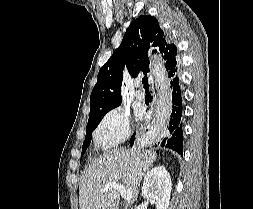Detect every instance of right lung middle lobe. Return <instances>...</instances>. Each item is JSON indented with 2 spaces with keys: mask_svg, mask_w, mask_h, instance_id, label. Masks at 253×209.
<instances>
[{
  "mask_svg": "<svg viewBox=\"0 0 253 209\" xmlns=\"http://www.w3.org/2000/svg\"><path fill=\"white\" fill-rule=\"evenodd\" d=\"M106 113L107 112L89 118L88 124H87V130H86V137H85L83 147H82V155L85 153L86 149L90 145L91 138H92V131L98 126V124L100 123V121L102 120V118L104 117Z\"/></svg>",
  "mask_w": 253,
  "mask_h": 209,
  "instance_id": "dd1d6c3e",
  "label": "right lung middle lobe"
}]
</instances>
